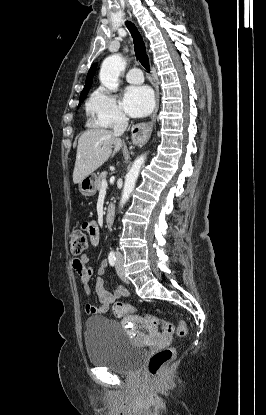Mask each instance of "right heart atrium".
Instances as JSON below:
<instances>
[{"mask_svg": "<svg viewBox=\"0 0 266 415\" xmlns=\"http://www.w3.org/2000/svg\"><path fill=\"white\" fill-rule=\"evenodd\" d=\"M86 111L92 123L99 127H111L128 119L117 98L103 87L91 94Z\"/></svg>", "mask_w": 266, "mask_h": 415, "instance_id": "right-heart-atrium-1", "label": "right heart atrium"}]
</instances>
